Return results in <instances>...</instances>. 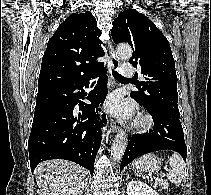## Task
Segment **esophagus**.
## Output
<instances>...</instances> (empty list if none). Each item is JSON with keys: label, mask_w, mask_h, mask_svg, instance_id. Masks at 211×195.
Returning <instances> with one entry per match:
<instances>
[{"label": "esophagus", "mask_w": 211, "mask_h": 195, "mask_svg": "<svg viewBox=\"0 0 211 195\" xmlns=\"http://www.w3.org/2000/svg\"><path fill=\"white\" fill-rule=\"evenodd\" d=\"M108 49H109V54H110L111 67H112L113 70H118L120 62L115 55L112 42L108 43ZM110 126H111V129H112V132L116 133V132L120 131V127L113 120H111Z\"/></svg>", "instance_id": "1"}]
</instances>
